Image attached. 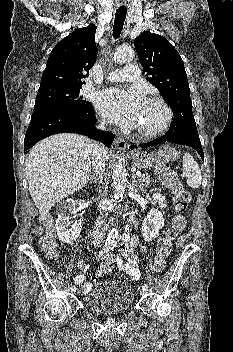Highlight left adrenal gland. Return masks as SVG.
<instances>
[{"instance_id": "1", "label": "left adrenal gland", "mask_w": 233, "mask_h": 352, "mask_svg": "<svg viewBox=\"0 0 233 352\" xmlns=\"http://www.w3.org/2000/svg\"><path fill=\"white\" fill-rule=\"evenodd\" d=\"M132 185L139 187L138 182H137V180H136V176H135L134 174H132ZM140 186H141V185H140Z\"/></svg>"}]
</instances>
